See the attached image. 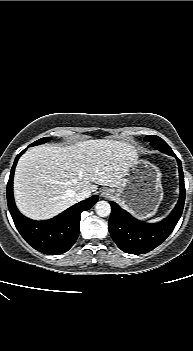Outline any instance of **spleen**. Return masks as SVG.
<instances>
[{"label":"spleen","instance_id":"spleen-1","mask_svg":"<svg viewBox=\"0 0 193 351\" xmlns=\"http://www.w3.org/2000/svg\"><path fill=\"white\" fill-rule=\"evenodd\" d=\"M161 219H162V217H159V218H156V219L151 220L150 222H151V223L158 222V221H160Z\"/></svg>","mask_w":193,"mask_h":351}]
</instances>
